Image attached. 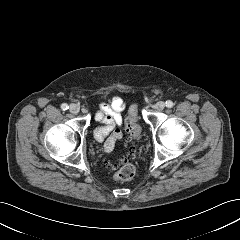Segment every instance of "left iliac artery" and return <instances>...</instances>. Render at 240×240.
<instances>
[{"label":"left iliac artery","mask_w":240,"mask_h":240,"mask_svg":"<svg viewBox=\"0 0 240 240\" xmlns=\"http://www.w3.org/2000/svg\"><path fill=\"white\" fill-rule=\"evenodd\" d=\"M165 105H166V107L171 108V107H173V102L170 101V100H167V101L165 102Z\"/></svg>","instance_id":"1"}]
</instances>
